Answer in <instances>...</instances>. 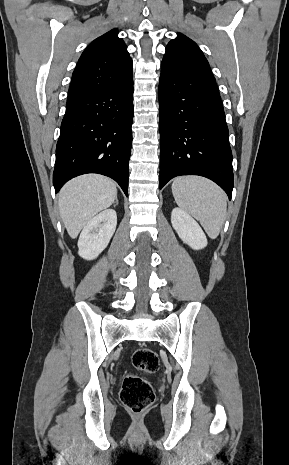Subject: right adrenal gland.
Wrapping results in <instances>:
<instances>
[{"label":"right adrenal gland","instance_id":"right-adrenal-gland-1","mask_svg":"<svg viewBox=\"0 0 289 465\" xmlns=\"http://www.w3.org/2000/svg\"><path fill=\"white\" fill-rule=\"evenodd\" d=\"M115 204H118V199H117V198H116V200H115Z\"/></svg>","mask_w":289,"mask_h":465}]
</instances>
